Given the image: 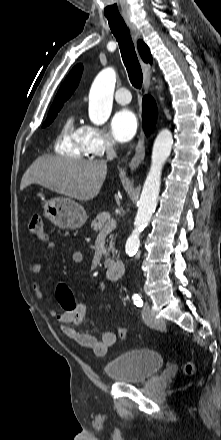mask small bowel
<instances>
[{
  "mask_svg": "<svg viewBox=\"0 0 221 440\" xmlns=\"http://www.w3.org/2000/svg\"><path fill=\"white\" fill-rule=\"evenodd\" d=\"M55 247L56 245L54 242L48 243L47 248L49 250H53ZM72 260L76 264L81 263L83 261L82 252L75 251ZM31 271L34 276L38 275L42 271V264L40 262H35L31 267ZM109 287L110 283L108 281H103L85 289L82 292L81 297L77 299L79 308L77 310L74 309L72 315H63L55 309L50 311L51 316L57 318L60 322V330L65 336L74 340L80 346L91 349L98 356H104L107 354L109 348L115 344L117 334L114 331H106L100 338H97L90 333L77 332L71 324L80 325L83 322L86 314V300L90 294L104 291ZM32 289L38 299L44 300L45 297L41 285L35 278L32 280Z\"/></svg>",
  "mask_w": 221,
  "mask_h": 440,
  "instance_id": "c3829d8e",
  "label": "small bowel"
}]
</instances>
